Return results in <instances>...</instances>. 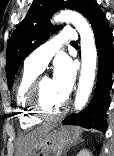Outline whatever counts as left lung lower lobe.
Segmentation results:
<instances>
[{
	"label": "left lung lower lobe",
	"mask_w": 114,
	"mask_h": 156,
	"mask_svg": "<svg viewBox=\"0 0 114 156\" xmlns=\"http://www.w3.org/2000/svg\"><path fill=\"white\" fill-rule=\"evenodd\" d=\"M88 20L93 28L98 52V77L92 101L81 113L64 119V124L93 128L103 133L107 130L106 110L109 108V91L114 72V44L112 31L100 6L95 3L90 9Z\"/></svg>",
	"instance_id": "left-lung-lower-lobe-1"
}]
</instances>
